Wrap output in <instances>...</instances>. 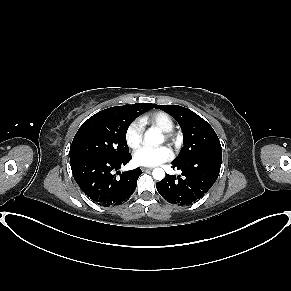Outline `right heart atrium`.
<instances>
[{
    "label": "right heart atrium",
    "instance_id": "right-heart-atrium-1",
    "mask_svg": "<svg viewBox=\"0 0 291 291\" xmlns=\"http://www.w3.org/2000/svg\"><path fill=\"white\" fill-rule=\"evenodd\" d=\"M143 124L139 120L130 122L125 130L124 138L130 148H136L143 138Z\"/></svg>",
    "mask_w": 291,
    "mask_h": 291
}]
</instances>
